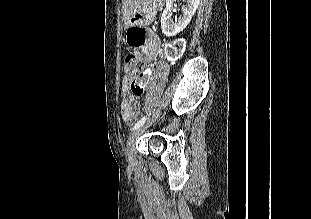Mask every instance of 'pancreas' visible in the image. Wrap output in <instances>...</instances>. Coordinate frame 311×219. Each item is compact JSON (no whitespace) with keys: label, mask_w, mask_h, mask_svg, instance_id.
I'll return each instance as SVG.
<instances>
[{"label":"pancreas","mask_w":311,"mask_h":219,"mask_svg":"<svg viewBox=\"0 0 311 219\" xmlns=\"http://www.w3.org/2000/svg\"><path fill=\"white\" fill-rule=\"evenodd\" d=\"M158 2H159V6L161 5V3H162V0H157Z\"/></svg>","instance_id":"obj_1"}]
</instances>
